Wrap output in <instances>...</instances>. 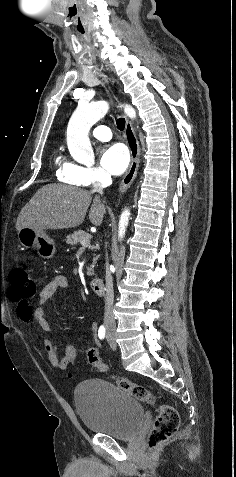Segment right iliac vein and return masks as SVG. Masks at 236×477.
Segmentation results:
<instances>
[{
  "label": "right iliac vein",
  "mask_w": 236,
  "mask_h": 477,
  "mask_svg": "<svg viewBox=\"0 0 236 477\" xmlns=\"http://www.w3.org/2000/svg\"><path fill=\"white\" fill-rule=\"evenodd\" d=\"M108 339H109V340H113V339H114V335H113L112 333H110V334L108 335Z\"/></svg>",
  "instance_id": "1"
}]
</instances>
